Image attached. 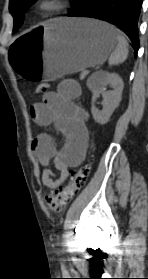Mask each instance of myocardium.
<instances>
[{
    "mask_svg": "<svg viewBox=\"0 0 148 279\" xmlns=\"http://www.w3.org/2000/svg\"><path fill=\"white\" fill-rule=\"evenodd\" d=\"M66 0H37L36 9L44 14L56 13L64 9Z\"/></svg>",
    "mask_w": 148,
    "mask_h": 279,
    "instance_id": "myocardium-1",
    "label": "myocardium"
}]
</instances>
